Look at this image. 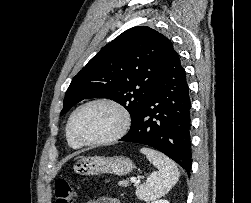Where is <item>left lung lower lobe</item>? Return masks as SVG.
<instances>
[{
	"label": "left lung lower lobe",
	"mask_w": 251,
	"mask_h": 203,
	"mask_svg": "<svg viewBox=\"0 0 251 203\" xmlns=\"http://www.w3.org/2000/svg\"><path fill=\"white\" fill-rule=\"evenodd\" d=\"M191 100L186 73L174 50L136 122L120 141L151 146L191 170Z\"/></svg>",
	"instance_id": "left-lung-lower-lobe-1"
}]
</instances>
